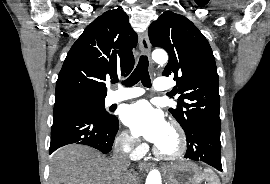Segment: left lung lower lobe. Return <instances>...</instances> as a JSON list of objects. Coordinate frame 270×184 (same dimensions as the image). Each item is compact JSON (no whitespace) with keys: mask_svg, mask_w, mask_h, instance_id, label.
<instances>
[{"mask_svg":"<svg viewBox=\"0 0 270 184\" xmlns=\"http://www.w3.org/2000/svg\"><path fill=\"white\" fill-rule=\"evenodd\" d=\"M187 151L185 158L202 161L222 171L220 131L196 128L186 136Z\"/></svg>","mask_w":270,"mask_h":184,"instance_id":"1","label":"left lung lower lobe"}]
</instances>
